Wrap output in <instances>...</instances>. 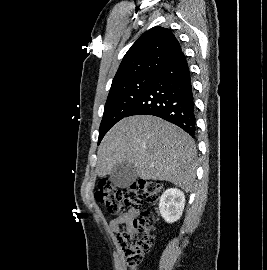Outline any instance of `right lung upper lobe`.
Listing matches in <instances>:
<instances>
[{
  "instance_id": "obj_1",
  "label": "right lung upper lobe",
  "mask_w": 267,
  "mask_h": 270,
  "mask_svg": "<svg viewBox=\"0 0 267 270\" xmlns=\"http://www.w3.org/2000/svg\"><path fill=\"white\" fill-rule=\"evenodd\" d=\"M180 51L171 30L159 26L151 28L127 51L111 88L141 75H155Z\"/></svg>"
}]
</instances>
